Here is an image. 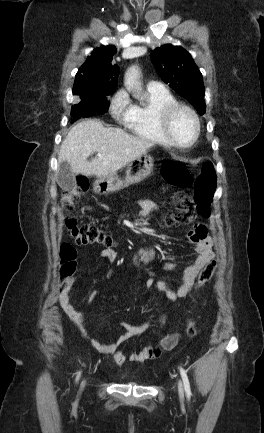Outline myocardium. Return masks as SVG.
Returning a JSON list of instances; mask_svg holds the SVG:
<instances>
[{"label": "myocardium", "instance_id": "f54148a6", "mask_svg": "<svg viewBox=\"0 0 264 433\" xmlns=\"http://www.w3.org/2000/svg\"><path fill=\"white\" fill-rule=\"evenodd\" d=\"M179 111H186L191 115V117L194 120L195 123V134L192 140L187 144H181L179 143L172 135L171 133V122L175 114ZM159 123L161 127V131L164 134L166 140L171 146L177 147V148H188L193 146L197 140L200 137L201 133V121L196 113V111L191 108L190 106L175 102L173 104L165 106L159 113Z\"/></svg>", "mask_w": 264, "mask_h": 433}]
</instances>
